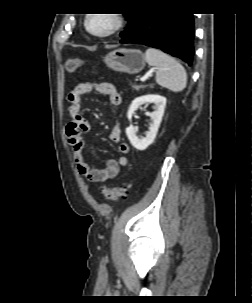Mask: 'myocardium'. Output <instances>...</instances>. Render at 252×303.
<instances>
[{
  "mask_svg": "<svg viewBox=\"0 0 252 303\" xmlns=\"http://www.w3.org/2000/svg\"><path fill=\"white\" fill-rule=\"evenodd\" d=\"M99 15H107L111 18L110 25L102 30H95L91 27L90 22L93 17L99 16ZM124 23V19L122 15L117 13H110V14H89L84 19V28L87 30V32L95 37H107L110 35L115 34L117 31H119Z\"/></svg>",
  "mask_w": 252,
  "mask_h": 303,
  "instance_id": "f54148a6",
  "label": "myocardium"
}]
</instances>
